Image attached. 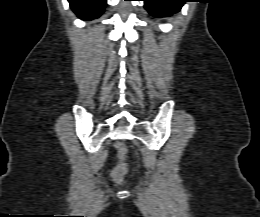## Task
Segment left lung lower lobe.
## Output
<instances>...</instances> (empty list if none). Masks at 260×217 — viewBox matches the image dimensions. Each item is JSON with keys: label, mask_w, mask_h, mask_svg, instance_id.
Returning <instances> with one entry per match:
<instances>
[{"label": "left lung lower lobe", "mask_w": 260, "mask_h": 217, "mask_svg": "<svg viewBox=\"0 0 260 217\" xmlns=\"http://www.w3.org/2000/svg\"><path fill=\"white\" fill-rule=\"evenodd\" d=\"M145 9L154 17H168L180 11L186 0H143Z\"/></svg>", "instance_id": "0a47b994"}]
</instances>
